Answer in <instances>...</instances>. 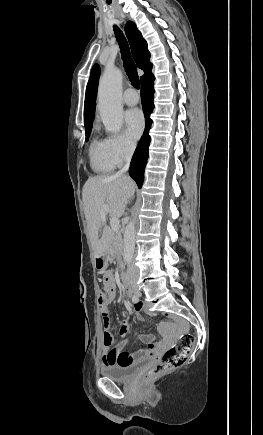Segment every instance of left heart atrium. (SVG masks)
I'll return each mask as SVG.
<instances>
[{
  "label": "left heart atrium",
  "instance_id": "1",
  "mask_svg": "<svg viewBox=\"0 0 263 435\" xmlns=\"http://www.w3.org/2000/svg\"><path fill=\"white\" fill-rule=\"evenodd\" d=\"M125 126L128 137L136 141L142 134L145 121L139 109L128 110L125 114Z\"/></svg>",
  "mask_w": 263,
  "mask_h": 435
}]
</instances>
